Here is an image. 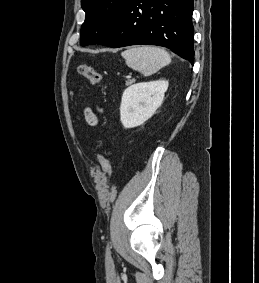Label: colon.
I'll return each instance as SVG.
<instances>
[{"instance_id":"obj_1","label":"colon","mask_w":259,"mask_h":283,"mask_svg":"<svg viewBox=\"0 0 259 283\" xmlns=\"http://www.w3.org/2000/svg\"><path fill=\"white\" fill-rule=\"evenodd\" d=\"M76 71L79 75L86 78L91 84H100L102 82V75L91 65L80 63L76 66ZM99 161L103 171L107 176L112 173V165L108 156L104 153L99 155Z\"/></svg>"}]
</instances>
